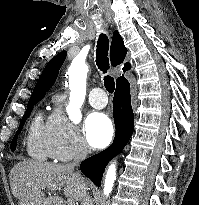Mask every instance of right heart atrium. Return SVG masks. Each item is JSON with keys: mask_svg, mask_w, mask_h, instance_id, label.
<instances>
[{"mask_svg": "<svg viewBox=\"0 0 199 205\" xmlns=\"http://www.w3.org/2000/svg\"><path fill=\"white\" fill-rule=\"evenodd\" d=\"M51 157L68 162L85 156L89 149L77 126L65 115L60 103L47 121Z\"/></svg>", "mask_w": 199, "mask_h": 205, "instance_id": "1", "label": "right heart atrium"}]
</instances>
